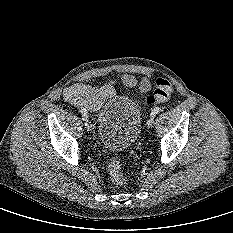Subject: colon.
Instances as JSON below:
<instances>
[{
    "label": "colon",
    "mask_w": 233,
    "mask_h": 233,
    "mask_svg": "<svg viewBox=\"0 0 233 233\" xmlns=\"http://www.w3.org/2000/svg\"><path fill=\"white\" fill-rule=\"evenodd\" d=\"M173 91V87L170 81L159 78L156 81V88L152 96L147 98V103L150 105L156 103H162L169 99ZM108 172L111 180L116 185H123L126 183V178L121 170V163L117 158H113L108 164Z\"/></svg>",
    "instance_id": "5ec220e1"
}]
</instances>
